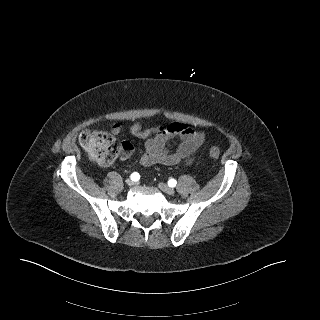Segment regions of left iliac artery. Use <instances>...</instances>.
<instances>
[{
  "label": "left iliac artery",
  "instance_id": "44dca946",
  "mask_svg": "<svg viewBox=\"0 0 320 320\" xmlns=\"http://www.w3.org/2000/svg\"><path fill=\"white\" fill-rule=\"evenodd\" d=\"M176 184H177V181H176L175 179H170V180L168 181V185H169L170 187H175Z\"/></svg>",
  "mask_w": 320,
  "mask_h": 320
}]
</instances>
